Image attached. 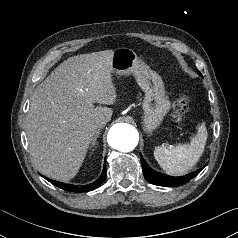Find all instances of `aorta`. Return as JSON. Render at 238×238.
I'll return each instance as SVG.
<instances>
[{
  "label": "aorta",
  "mask_w": 238,
  "mask_h": 238,
  "mask_svg": "<svg viewBox=\"0 0 238 238\" xmlns=\"http://www.w3.org/2000/svg\"><path fill=\"white\" fill-rule=\"evenodd\" d=\"M107 140L112 148L122 152H129L137 146L139 135L132 125L118 123L110 129Z\"/></svg>",
  "instance_id": "obj_1"
}]
</instances>
